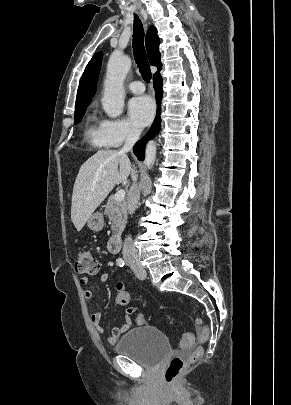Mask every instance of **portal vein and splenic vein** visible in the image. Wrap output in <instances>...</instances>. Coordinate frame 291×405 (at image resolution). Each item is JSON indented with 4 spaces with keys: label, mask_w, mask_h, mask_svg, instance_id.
<instances>
[{
    "label": "portal vein and splenic vein",
    "mask_w": 291,
    "mask_h": 405,
    "mask_svg": "<svg viewBox=\"0 0 291 405\" xmlns=\"http://www.w3.org/2000/svg\"><path fill=\"white\" fill-rule=\"evenodd\" d=\"M124 198H125V191L124 190H119L114 196L115 201H123Z\"/></svg>",
    "instance_id": "1"
}]
</instances>
